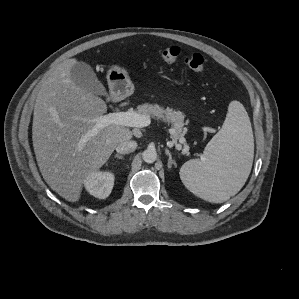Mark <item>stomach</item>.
<instances>
[{
    "label": "stomach",
    "instance_id": "1",
    "mask_svg": "<svg viewBox=\"0 0 299 299\" xmlns=\"http://www.w3.org/2000/svg\"><path fill=\"white\" fill-rule=\"evenodd\" d=\"M107 82L111 94L116 98H125L133 93L134 86L128 72L120 66H112L107 73Z\"/></svg>",
    "mask_w": 299,
    "mask_h": 299
}]
</instances>
